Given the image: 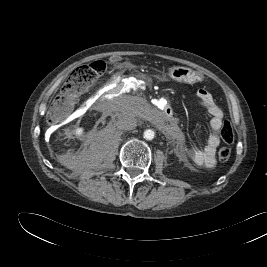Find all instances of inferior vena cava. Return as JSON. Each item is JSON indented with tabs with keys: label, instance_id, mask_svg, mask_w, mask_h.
<instances>
[{
	"label": "inferior vena cava",
	"instance_id": "obj_1",
	"mask_svg": "<svg viewBox=\"0 0 267 267\" xmlns=\"http://www.w3.org/2000/svg\"><path fill=\"white\" fill-rule=\"evenodd\" d=\"M116 126L120 129V130H133L136 128L137 126V121L135 118L131 117V116H123L120 117L117 122H116Z\"/></svg>",
	"mask_w": 267,
	"mask_h": 267
}]
</instances>
